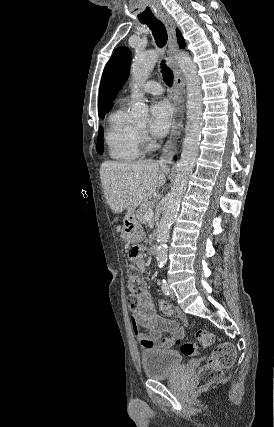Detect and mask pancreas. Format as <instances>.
<instances>
[{"label":"pancreas","instance_id":"cf45deb5","mask_svg":"<svg viewBox=\"0 0 274 427\" xmlns=\"http://www.w3.org/2000/svg\"><path fill=\"white\" fill-rule=\"evenodd\" d=\"M155 204V200H152V202H144V204H141L139 210H137V219L140 221V223H145V214L148 212V210H153Z\"/></svg>","mask_w":274,"mask_h":427}]
</instances>
